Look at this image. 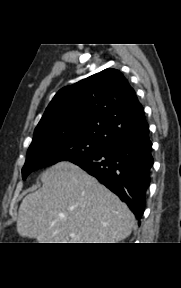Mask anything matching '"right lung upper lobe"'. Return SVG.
<instances>
[{
	"label": "right lung upper lobe",
	"instance_id": "cb5924a9",
	"mask_svg": "<svg viewBox=\"0 0 181 288\" xmlns=\"http://www.w3.org/2000/svg\"><path fill=\"white\" fill-rule=\"evenodd\" d=\"M79 135L110 146L149 137L142 105L116 69H105L62 88L34 131V140Z\"/></svg>",
	"mask_w": 181,
	"mask_h": 288
}]
</instances>
